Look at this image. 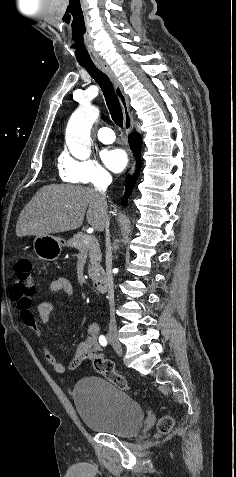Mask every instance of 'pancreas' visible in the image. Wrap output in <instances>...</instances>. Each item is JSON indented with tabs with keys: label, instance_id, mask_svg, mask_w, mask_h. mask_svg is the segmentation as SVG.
<instances>
[{
	"label": "pancreas",
	"instance_id": "cf45deb5",
	"mask_svg": "<svg viewBox=\"0 0 236 477\" xmlns=\"http://www.w3.org/2000/svg\"><path fill=\"white\" fill-rule=\"evenodd\" d=\"M87 237L86 234L77 233L68 240V246L77 249L84 257H90V265L88 267V275L91 279H97L102 273L103 268L100 265L101 262V250L99 244L93 240L89 244H85L84 240Z\"/></svg>",
	"mask_w": 236,
	"mask_h": 477
}]
</instances>
